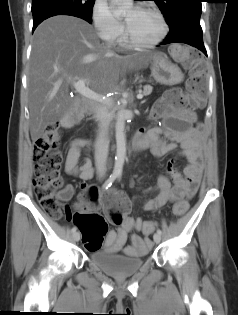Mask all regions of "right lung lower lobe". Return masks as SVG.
<instances>
[{"mask_svg":"<svg viewBox=\"0 0 238 315\" xmlns=\"http://www.w3.org/2000/svg\"><path fill=\"white\" fill-rule=\"evenodd\" d=\"M33 31L45 19L55 15H70L82 18L89 23H92V18L76 10L63 7H45L33 11Z\"/></svg>","mask_w":238,"mask_h":315,"instance_id":"98d812e1","label":"right lung lower lobe"}]
</instances>
